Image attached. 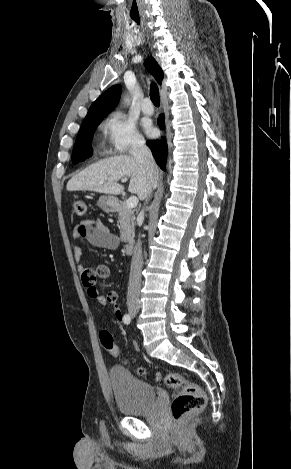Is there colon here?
Instances as JSON below:
<instances>
[{"label":"colon","instance_id":"5ec220e1","mask_svg":"<svg viewBox=\"0 0 291 469\" xmlns=\"http://www.w3.org/2000/svg\"><path fill=\"white\" fill-rule=\"evenodd\" d=\"M87 203L82 198H75L71 204V213L76 217H84L87 214ZM93 303L98 308L105 306V301L100 296L93 298ZM99 339L103 348L113 357H119V348L115 345L112 335L108 331H101ZM140 375L145 374L144 368H139ZM157 381L163 382L167 387L176 391L171 402V415L174 420L180 421L186 415L198 411L205 406L206 396L202 388L196 383L188 381L183 375L175 372L157 373Z\"/></svg>","mask_w":291,"mask_h":469}]
</instances>
